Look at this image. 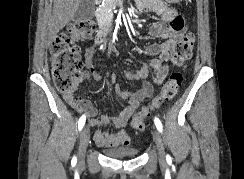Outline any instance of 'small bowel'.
Instances as JSON below:
<instances>
[{
	"label": "small bowel",
	"mask_w": 244,
	"mask_h": 179,
	"mask_svg": "<svg viewBox=\"0 0 244 179\" xmlns=\"http://www.w3.org/2000/svg\"><path fill=\"white\" fill-rule=\"evenodd\" d=\"M136 7L142 11H150L157 14L161 22L153 23L149 27V35L154 38H162V43H150L146 46V54L151 57L148 63L140 65L137 70L125 71L124 75L128 80L143 81V86L137 91H130L116 83V74H112L110 82L115 86L116 95L128 102L124 109L117 116L103 115L100 119L94 118L96 110L92 107L89 100L82 95H76V86L63 93L65 102L75 111L81 113L87 111L89 123L92 127L113 125L117 129L124 128L131 115L138 108L140 103L151 96L153 84L161 83L167 73V61L172 55V50L178 39L183 35V18L170 5L163 0H137ZM99 48L98 42H93L84 52L87 61V67L82 75V79L92 78L95 81L101 79L92 60ZM130 63V61H129ZM94 140L97 145L103 147H113L117 145H126L130 141L129 135L120 130L118 132H107L98 130L94 134Z\"/></svg>",
	"instance_id": "small-bowel-1"
}]
</instances>
